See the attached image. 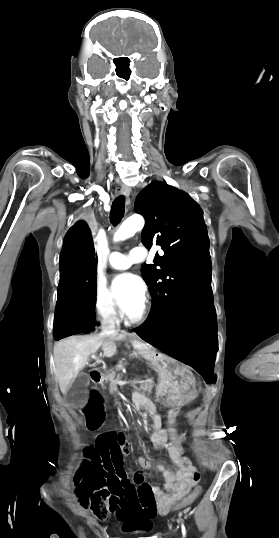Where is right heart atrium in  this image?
<instances>
[{
    "mask_svg": "<svg viewBox=\"0 0 279 538\" xmlns=\"http://www.w3.org/2000/svg\"><path fill=\"white\" fill-rule=\"evenodd\" d=\"M94 307L96 316L101 323L109 322L117 318L120 314L117 301L101 285H97L95 289Z\"/></svg>",
    "mask_w": 279,
    "mask_h": 538,
    "instance_id": "d8ad5b80",
    "label": "right heart atrium"
}]
</instances>
